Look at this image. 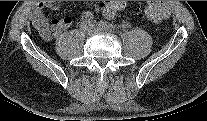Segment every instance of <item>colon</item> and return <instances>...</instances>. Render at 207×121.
<instances>
[{"mask_svg":"<svg viewBox=\"0 0 207 121\" xmlns=\"http://www.w3.org/2000/svg\"><path fill=\"white\" fill-rule=\"evenodd\" d=\"M147 18L153 22H161L168 18L170 10L163 1H150L145 8Z\"/></svg>","mask_w":207,"mask_h":121,"instance_id":"5ec220e1","label":"colon"}]
</instances>
